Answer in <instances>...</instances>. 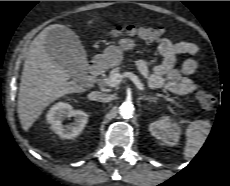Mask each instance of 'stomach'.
I'll list each match as a JSON object with an SVG mask.
<instances>
[{
  "label": "stomach",
  "instance_id": "stomach-1",
  "mask_svg": "<svg viewBox=\"0 0 230 186\" xmlns=\"http://www.w3.org/2000/svg\"><path fill=\"white\" fill-rule=\"evenodd\" d=\"M136 43L133 39L122 38L119 40L118 45H111L107 47L103 54L97 55L95 59L105 68H111L119 65L123 60V53L125 51L133 50Z\"/></svg>",
  "mask_w": 230,
  "mask_h": 186
}]
</instances>
